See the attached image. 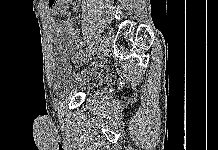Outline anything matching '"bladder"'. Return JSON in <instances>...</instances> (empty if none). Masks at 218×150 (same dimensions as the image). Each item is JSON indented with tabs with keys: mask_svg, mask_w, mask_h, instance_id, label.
Returning <instances> with one entry per match:
<instances>
[{
	"mask_svg": "<svg viewBox=\"0 0 218 150\" xmlns=\"http://www.w3.org/2000/svg\"><path fill=\"white\" fill-rule=\"evenodd\" d=\"M70 46V42L64 37L58 38L54 45L55 63L52 68V81L59 97L78 92H91L105 79V70L98 63H92L84 68H76L68 63Z\"/></svg>",
	"mask_w": 218,
	"mask_h": 150,
	"instance_id": "1",
	"label": "bladder"
}]
</instances>
